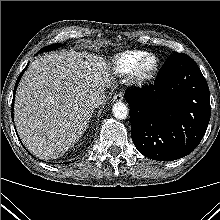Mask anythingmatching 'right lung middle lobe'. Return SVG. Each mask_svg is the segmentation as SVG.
<instances>
[{"instance_id": "dd1d6c3e", "label": "right lung middle lobe", "mask_w": 220, "mask_h": 220, "mask_svg": "<svg viewBox=\"0 0 220 220\" xmlns=\"http://www.w3.org/2000/svg\"><path fill=\"white\" fill-rule=\"evenodd\" d=\"M61 46V44L57 43V44H51L49 46L44 47L43 49H41L38 53L42 52V51H50V50H54L57 49Z\"/></svg>"}]
</instances>
